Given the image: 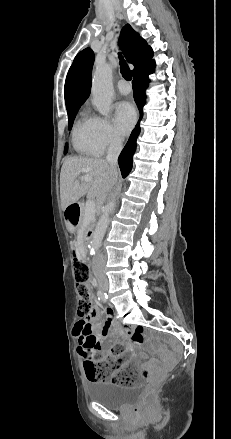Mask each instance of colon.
<instances>
[{
  "label": "colon",
  "mask_w": 231,
  "mask_h": 439,
  "mask_svg": "<svg viewBox=\"0 0 231 439\" xmlns=\"http://www.w3.org/2000/svg\"><path fill=\"white\" fill-rule=\"evenodd\" d=\"M73 272L76 283V290L79 295L77 311L82 318H87L92 312V301L88 283L90 280V269L88 265L76 255L73 260ZM118 348L113 349L117 352ZM84 369L88 380L90 381H104L110 379L111 382L129 386L135 384L138 379L133 367L119 366L113 373L111 369L114 366L112 361H101L98 353L91 348H88L84 353ZM157 388V382L154 379L148 378L146 381V390L142 396V402L148 403L154 396Z\"/></svg>",
  "instance_id": "obj_1"
}]
</instances>
